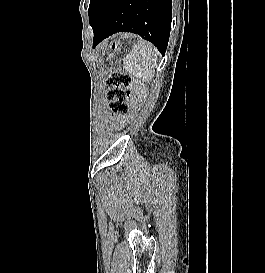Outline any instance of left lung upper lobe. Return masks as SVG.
Here are the masks:
<instances>
[{
	"label": "left lung upper lobe",
	"instance_id": "obj_1",
	"mask_svg": "<svg viewBox=\"0 0 265 273\" xmlns=\"http://www.w3.org/2000/svg\"><path fill=\"white\" fill-rule=\"evenodd\" d=\"M89 18H90V23H94L96 26L102 23L104 19V13L99 12V11H94L93 9H90L89 6Z\"/></svg>",
	"mask_w": 265,
	"mask_h": 273
}]
</instances>
